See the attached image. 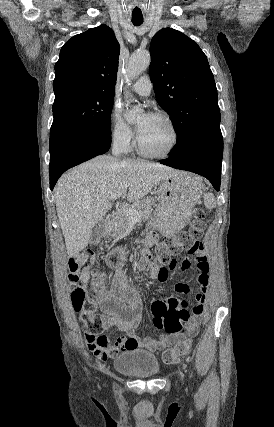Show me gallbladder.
I'll return each instance as SVG.
<instances>
[{"label":"gallbladder","mask_w":274,"mask_h":427,"mask_svg":"<svg viewBox=\"0 0 274 427\" xmlns=\"http://www.w3.org/2000/svg\"><path fill=\"white\" fill-rule=\"evenodd\" d=\"M104 231V219H100L99 223H96L94 227H92L91 231V243H94V241H98L100 239L101 235H103Z\"/></svg>","instance_id":"1"}]
</instances>
